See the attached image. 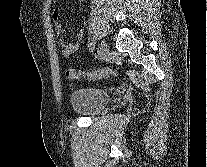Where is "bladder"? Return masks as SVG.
Here are the masks:
<instances>
[{
	"label": "bladder",
	"instance_id": "bladder-1",
	"mask_svg": "<svg viewBox=\"0 0 207 167\" xmlns=\"http://www.w3.org/2000/svg\"><path fill=\"white\" fill-rule=\"evenodd\" d=\"M110 100L106 90L92 87L79 88L70 95L72 110L85 117H94L101 113Z\"/></svg>",
	"mask_w": 207,
	"mask_h": 167
}]
</instances>
